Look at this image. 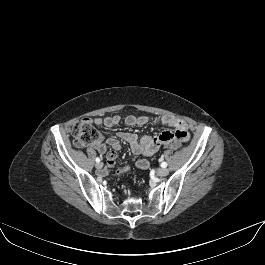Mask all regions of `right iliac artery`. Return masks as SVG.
<instances>
[{"label":"right iliac artery","instance_id":"right-iliac-artery-1","mask_svg":"<svg viewBox=\"0 0 265 265\" xmlns=\"http://www.w3.org/2000/svg\"><path fill=\"white\" fill-rule=\"evenodd\" d=\"M95 161L98 163V162H100V159L97 157V158L95 159Z\"/></svg>","mask_w":265,"mask_h":265}]
</instances>
